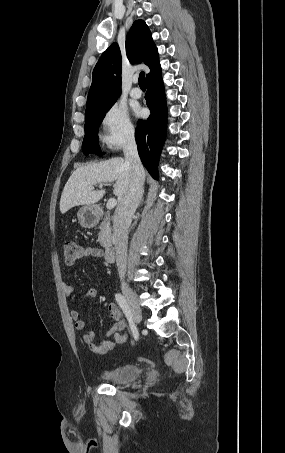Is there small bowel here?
Here are the masks:
<instances>
[{
    "label": "small bowel",
    "instance_id": "obj_1",
    "mask_svg": "<svg viewBox=\"0 0 285 453\" xmlns=\"http://www.w3.org/2000/svg\"><path fill=\"white\" fill-rule=\"evenodd\" d=\"M102 255L103 252L99 248L87 246L82 249V257L85 259L100 258L102 257ZM64 292L66 296H71L74 293V287L71 284H66L64 286ZM97 295L98 292L96 289H90L82 297V299L95 298L97 297ZM107 309L114 321L112 327L109 328L106 332V336H111L124 330V328L126 327V321L122 316L120 309L115 303H109ZM71 318L74 321L75 329L81 334L83 343L91 352L95 354H105L114 347L115 343L111 340L98 342L94 340L93 332L86 328L85 322L82 320L81 314L78 310L71 311Z\"/></svg>",
    "mask_w": 285,
    "mask_h": 453
}]
</instances>
